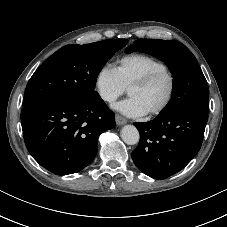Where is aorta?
Masks as SVG:
<instances>
[{
  "label": "aorta",
  "mask_w": 227,
  "mask_h": 227,
  "mask_svg": "<svg viewBox=\"0 0 227 227\" xmlns=\"http://www.w3.org/2000/svg\"><path fill=\"white\" fill-rule=\"evenodd\" d=\"M121 138L128 145H135L139 142V131L133 125H125L121 129Z\"/></svg>",
  "instance_id": "obj_1"
}]
</instances>
